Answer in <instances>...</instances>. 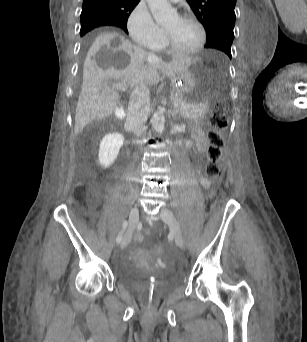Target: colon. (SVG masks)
Here are the masks:
<instances>
[{"label": "colon", "mask_w": 307, "mask_h": 342, "mask_svg": "<svg viewBox=\"0 0 307 342\" xmlns=\"http://www.w3.org/2000/svg\"><path fill=\"white\" fill-rule=\"evenodd\" d=\"M221 94L226 92L224 87L219 89ZM212 129L209 132V147L207 149L208 161L206 164V174L213 178L219 179L223 175V166L221 163L222 148L224 144L223 133L228 127V118L225 113L216 108L211 114ZM152 252L155 250L157 253H164L166 248L164 246H157L155 249H150Z\"/></svg>", "instance_id": "1"}]
</instances>
